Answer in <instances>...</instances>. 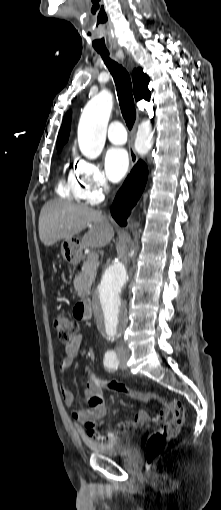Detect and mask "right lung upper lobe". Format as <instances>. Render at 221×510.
<instances>
[{
	"instance_id": "obj_1",
	"label": "right lung upper lobe",
	"mask_w": 221,
	"mask_h": 510,
	"mask_svg": "<svg viewBox=\"0 0 221 510\" xmlns=\"http://www.w3.org/2000/svg\"><path fill=\"white\" fill-rule=\"evenodd\" d=\"M133 89L136 101L145 99L149 101L150 91L148 90L149 77L143 73L141 68L134 69L132 73ZM71 125V112H68L62 122L58 138H57V149H61L67 142Z\"/></svg>"
}]
</instances>
